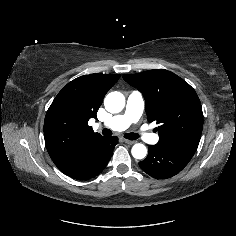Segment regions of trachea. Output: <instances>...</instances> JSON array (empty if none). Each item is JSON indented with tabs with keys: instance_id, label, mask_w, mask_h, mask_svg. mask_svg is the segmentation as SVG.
<instances>
[{
	"instance_id": "1",
	"label": "trachea",
	"mask_w": 236,
	"mask_h": 236,
	"mask_svg": "<svg viewBox=\"0 0 236 236\" xmlns=\"http://www.w3.org/2000/svg\"><path fill=\"white\" fill-rule=\"evenodd\" d=\"M102 134H103L104 136H111V135H112V131L109 130V129H103ZM124 137H125L126 139H129V140H136V139L139 138V135H138L137 133H126V134L124 135Z\"/></svg>"
}]
</instances>
